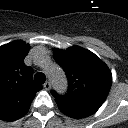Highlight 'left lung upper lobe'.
<instances>
[{"label":"left lung upper lobe","instance_id":"5c2ea615","mask_svg":"<svg viewBox=\"0 0 128 128\" xmlns=\"http://www.w3.org/2000/svg\"><path fill=\"white\" fill-rule=\"evenodd\" d=\"M53 56L69 81L66 95L52 92L55 100L98 110L112 84V74L107 65L94 53L79 46L55 49Z\"/></svg>","mask_w":128,"mask_h":128}]
</instances>
